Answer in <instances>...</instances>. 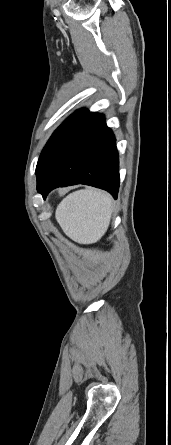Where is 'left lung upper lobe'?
Instances as JSON below:
<instances>
[{"label": "left lung upper lobe", "instance_id": "1", "mask_svg": "<svg viewBox=\"0 0 171 445\" xmlns=\"http://www.w3.org/2000/svg\"><path fill=\"white\" fill-rule=\"evenodd\" d=\"M88 113L87 110L81 109L73 113L70 117H68L60 127L52 134L51 138L48 140L47 144L45 145L38 163L36 167V173L39 171L40 167L50 154V152L53 150V148L56 146V144L59 142V140L64 136V134L74 125L76 124L83 116H85Z\"/></svg>", "mask_w": 171, "mask_h": 445}]
</instances>
